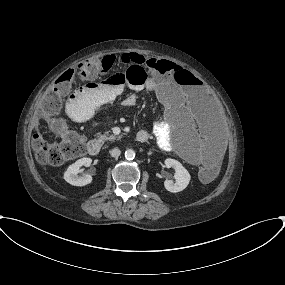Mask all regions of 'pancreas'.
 I'll return each instance as SVG.
<instances>
[{"label":"pancreas","instance_id":"pancreas-1","mask_svg":"<svg viewBox=\"0 0 285 285\" xmlns=\"http://www.w3.org/2000/svg\"><path fill=\"white\" fill-rule=\"evenodd\" d=\"M117 138H118V137H116L115 135H109L108 133H105V134L99 136V139H100L102 142H105V141H114V140H116Z\"/></svg>","mask_w":285,"mask_h":285}]
</instances>
